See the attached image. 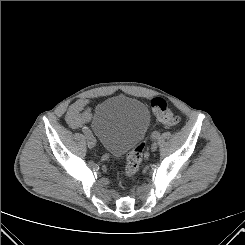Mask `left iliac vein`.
I'll use <instances>...</instances> for the list:
<instances>
[{
    "label": "left iliac vein",
    "mask_w": 245,
    "mask_h": 245,
    "mask_svg": "<svg viewBox=\"0 0 245 245\" xmlns=\"http://www.w3.org/2000/svg\"><path fill=\"white\" fill-rule=\"evenodd\" d=\"M157 147H158V144L156 142L152 143L151 145V151H156L157 150Z\"/></svg>",
    "instance_id": "left-iliac-vein-1"
}]
</instances>
